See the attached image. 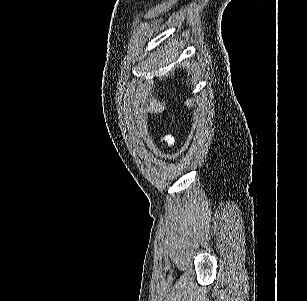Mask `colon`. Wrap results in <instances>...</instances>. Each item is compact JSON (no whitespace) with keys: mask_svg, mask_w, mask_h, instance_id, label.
Masks as SVG:
<instances>
[{"mask_svg":"<svg viewBox=\"0 0 307 301\" xmlns=\"http://www.w3.org/2000/svg\"><path fill=\"white\" fill-rule=\"evenodd\" d=\"M164 142H165L167 145H169V144H171L172 140H171V138H165V139H164Z\"/></svg>","mask_w":307,"mask_h":301,"instance_id":"obj_1","label":"colon"}]
</instances>
